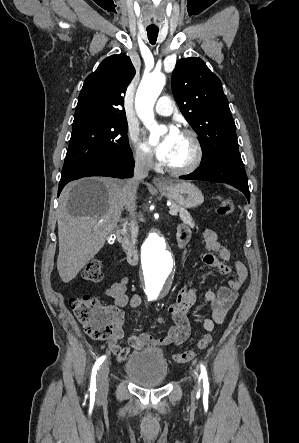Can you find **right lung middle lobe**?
<instances>
[{
    "instance_id": "1",
    "label": "right lung middle lobe",
    "mask_w": 299,
    "mask_h": 443,
    "mask_svg": "<svg viewBox=\"0 0 299 443\" xmlns=\"http://www.w3.org/2000/svg\"><path fill=\"white\" fill-rule=\"evenodd\" d=\"M126 118L89 120L73 125L61 179L101 160L130 155Z\"/></svg>"
}]
</instances>
